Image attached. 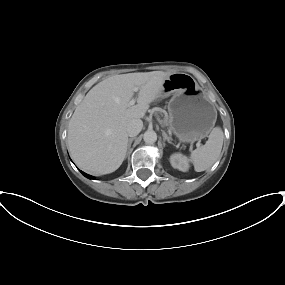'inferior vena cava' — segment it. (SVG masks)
I'll return each mask as SVG.
<instances>
[{"instance_id":"obj_1","label":"inferior vena cava","mask_w":285,"mask_h":285,"mask_svg":"<svg viewBox=\"0 0 285 285\" xmlns=\"http://www.w3.org/2000/svg\"><path fill=\"white\" fill-rule=\"evenodd\" d=\"M143 122L140 119H133L127 125L126 131L128 136L135 137L137 136L140 131L142 130Z\"/></svg>"}]
</instances>
